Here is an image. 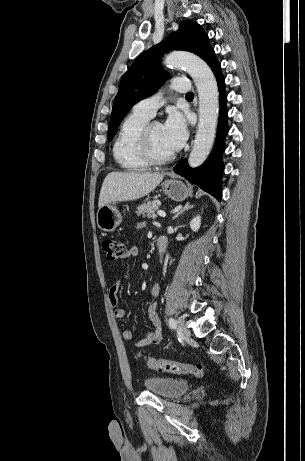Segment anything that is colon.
<instances>
[{
  "instance_id": "5ec220e1",
  "label": "colon",
  "mask_w": 305,
  "mask_h": 461,
  "mask_svg": "<svg viewBox=\"0 0 305 461\" xmlns=\"http://www.w3.org/2000/svg\"><path fill=\"white\" fill-rule=\"evenodd\" d=\"M102 248L110 260H117L124 254V243L115 239H105L102 243ZM142 358L141 354L137 355ZM148 367L159 372H167L181 375H191L194 377H202L204 368L201 364H184L165 359L144 358Z\"/></svg>"
}]
</instances>
